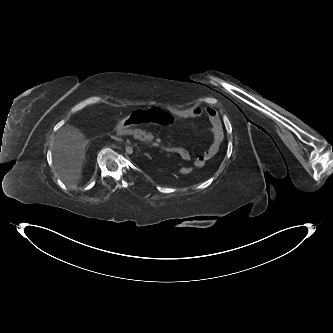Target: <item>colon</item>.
I'll return each mask as SVG.
<instances>
[{"label": "colon", "mask_w": 333, "mask_h": 333, "mask_svg": "<svg viewBox=\"0 0 333 333\" xmlns=\"http://www.w3.org/2000/svg\"><path fill=\"white\" fill-rule=\"evenodd\" d=\"M146 123H162L166 125H173L176 122V115L173 112L166 110H146L135 111L133 114H127L124 117V124L127 127H134L136 124ZM181 173L188 175L193 173L194 168L191 165H183L179 167Z\"/></svg>", "instance_id": "1"}]
</instances>
